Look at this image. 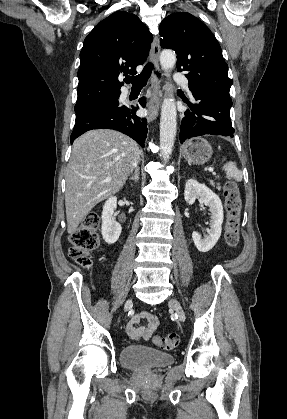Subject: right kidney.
Listing matches in <instances>:
<instances>
[{"instance_id":"right-kidney-1","label":"right kidney","mask_w":287,"mask_h":419,"mask_svg":"<svg viewBox=\"0 0 287 419\" xmlns=\"http://www.w3.org/2000/svg\"><path fill=\"white\" fill-rule=\"evenodd\" d=\"M117 208V198L110 197L103 206L101 233L108 244H114L122 231L121 225L115 220L113 214Z\"/></svg>"}]
</instances>
